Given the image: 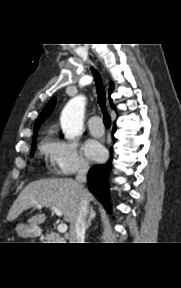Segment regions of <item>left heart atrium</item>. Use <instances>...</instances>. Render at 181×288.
<instances>
[{"label": "left heart atrium", "instance_id": "left-heart-atrium-1", "mask_svg": "<svg viewBox=\"0 0 181 288\" xmlns=\"http://www.w3.org/2000/svg\"><path fill=\"white\" fill-rule=\"evenodd\" d=\"M83 149L85 155L91 160L99 161L102 160L105 156V150L103 146L93 140L87 141Z\"/></svg>", "mask_w": 181, "mask_h": 288}]
</instances>
